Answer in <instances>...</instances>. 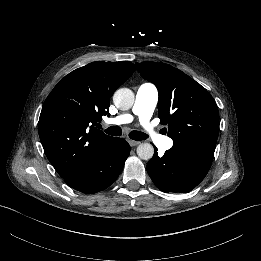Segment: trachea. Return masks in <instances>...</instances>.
<instances>
[{
	"instance_id": "trachea-1",
	"label": "trachea",
	"mask_w": 261,
	"mask_h": 261,
	"mask_svg": "<svg viewBox=\"0 0 261 261\" xmlns=\"http://www.w3.org/2000/svg\"><path fill=\"white\" fill-rule=\"evenodd\" d=\"M98 127L100 128L101 125L98 124ZM105 133L112 135V136H121L122 135V129L119 126H111L105 130ZM129 137L136 141L145 140L148 138V135L140 132V131H131L129 133Z\"/></svg>"
}]
</instances>
